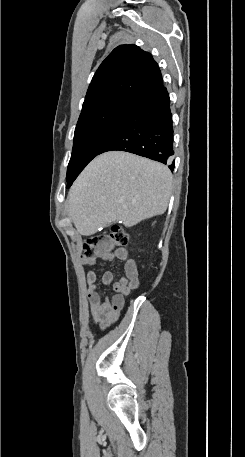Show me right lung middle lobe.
I'll return each instance as SVG.
<instances>
[{"label":"right lung middle lobe","instance_id":"obj_1","mask_svg":"<svg viewBox=\"0 0 245 457\" xmlns=\"http://www.w3.org/2000/svg\"><path fill=\"white\" fill-rule=\"evenodd\" d=\"M128 111L127 108L109 107L80 115L67 169V188L72 185L83 168L99 154Z\"/></svg>","mask_w":245,"mask_h":457}]
</instances>
